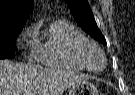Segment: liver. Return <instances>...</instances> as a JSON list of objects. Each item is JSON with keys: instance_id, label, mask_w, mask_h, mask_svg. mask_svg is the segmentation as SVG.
<instances>
[{"instance_id": "liver-1", "label": "liver", "mask_w": 135, "mask_h": 95, "mask_svg": "<svg viewBox=\"0 0 135 95\" xmlns=\"http://www.w3.org/2000/svg\"><path fill=\"white\" fill-rule=\"evenodd\" d=\"M87 78L70 71L0 60V95H59Z\"/></svg>"}]
</instances>
